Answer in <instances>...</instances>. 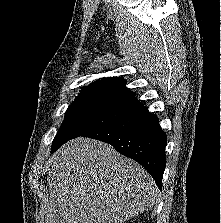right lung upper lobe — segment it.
<instances>
[{
  "label": "right lung upper lobe",
  "instance_id": "right-lung-upper-lobe-1",
  "mask_svg": "<svg viewBox=\"0 0 221 223\" xmlns=\"http://www.w3.org/2000/svg\"><path fill=\"white\" fill-rule=\"evenodd\" d=\"M126 81L122 78H106L85 87L75 100L95 99L116 103L128 104L134 107L143 104L137 101L134 94L125 87Z\"/></svg>",
  "mask_w": 221,
  "mask_h": 223
}]
</instances>
